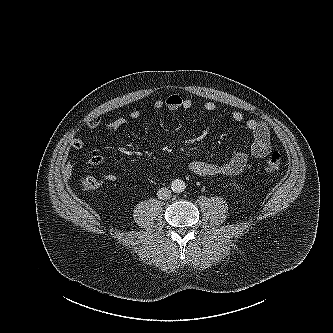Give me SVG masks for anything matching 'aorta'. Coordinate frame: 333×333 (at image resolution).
Listing matches in <instances>:
<instances>
[{
    "mask_svg": "<svg viewBox=\"0 0 333 333\" xmlns=\"http://www.w3.org/2000/svg\"><path fill=\"white\" fill-rule=\"evenodd\" d=\"M185 188V182L182 180L177 179L172 182V189L174 192L181 193L185 190Z\"/></svg>",
    "mask_w": 333,
    "mask_h": 333,
    "instance_id": "obj_1",
    "label": "aorta"
}]
</instances>
